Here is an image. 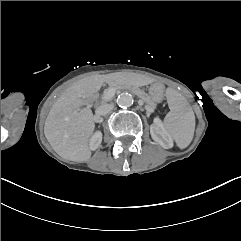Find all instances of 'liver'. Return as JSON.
<instances>
[{"instance_id": "6515ba94", "label": "liver", "mask_w": 241, "mask_h": 241, "mask_svg": "<svg viewBox=\"0 0 241 241\" xmlns=\"http://www.w3.org/2000/svg\"><path fill=\"white\" fill-rule=\"evenodd\" d=\"M121 75L111 73L78 80L52 105L46 118L44 134L54 151L70 161L84 162L91 157L89 138L95 123L89 104L103 83L116 86Z\"/></svg>"}]
</instances>
